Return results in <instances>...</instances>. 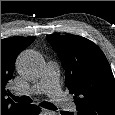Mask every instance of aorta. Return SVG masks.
<instances>
[{
	"instance_id": "obj_1",
	"label": "aorta",
	"mask_w": 115,
	"mask_h": 115,
	"mask_svg": "<svg viewBox=\"0 0 115 115\" xmlns=\"http://www.w3.org/2000/svg\"><path fill=\"white\" fill-rule=\"evenodd\" d=\"M44 63L42 57L35 51L23 52L17 60L18 72L27 79H37L43 71ZM49 115H55L54 112Z\"/></svg>"
}]
</instances>
